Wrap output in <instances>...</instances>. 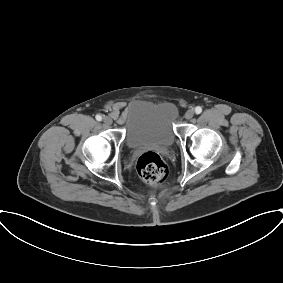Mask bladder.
<instances>
[{
  "label": "bladder",
  "instance_id": "1",
  "mask_svg": "<svg viewBox=\"0 0 283 283\" xmlns=\"http://www.w3.org/2000/svg\"><path fill=\"white\" fill-rule=\"evenodd\" d=\"M177 117L178 110L172 102H133L128 108L125 123L127 146L131 149L172 146L176 139L174 123Z\"/></svg>",
  "mask_w": 283,
  "mask_h": 283
}]
</instances>
